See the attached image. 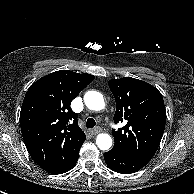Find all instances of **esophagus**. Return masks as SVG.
I'll list each match as a JSON object with an SVG mask.
<instances>
[{"mask_svg":"<svg viewBox=\"0 0 194 194\" xmlns=\"http://www.w3.org/2000/svg\"><path fill=\"white\" fill-rule=\"evenodd\" d=\"M101 131H102V130H101L100 127H96V128H94V129H91V130H90V133H91L92 135H96V134L100 133Z\"/></svg>","mask_w":194,"mask_h":194,"instance_id":"1","label":"esophagus"}]
</instances>
